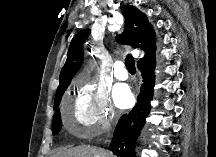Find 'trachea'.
<instances>
[{"instance_id":"obj_1","label":"trachea","mask_w":216,"mask_h":157,"mask_svg":"<svg viewBox=\"0 0 216 157\" xmlns=\"http://www.w3.org/2000/svg\"><path fill=\"white\" fill-rule=\"evenodd\" d=\"M125 65H126V67H127V69L129 70L130 73H135L136 72L135 61H134V58H133V56L131 54H128L126 56Z\"/></svg>"}]
</instances>
